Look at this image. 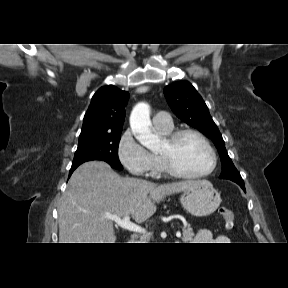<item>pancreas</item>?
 I'll list each match as a JSON object with an SVG mask.
<instances>
[{
    "instance_id": "obj_1",
    "label": "pancreas",
    "mask_w": 288,
    "mask_h": 288,
    "mask_svg": "<svg viewBox=\"0 0 288 288\" xmlns=\"http://www.w3.org/2000/svg\"><path fill=\"white\" fill-rule=\"evenodd\" d=\"M193 237H194V232L192 228L190 227V225L188 224L184 225L182 241L186 243L188 241H191ZM141 240L142 242H145L146 238H141Z\"/></svg>"
}]
</instances>
